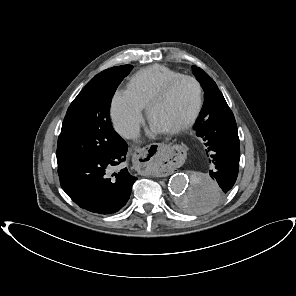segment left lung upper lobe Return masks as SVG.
Here are the masks:
<instances>
[{
	"label": "left lung upper lobe",
	"mask_w": 296,
	"mask_h": 296,
	"mask_svg": "<svg viewBox=\"0 0 296 296\" xmlns=\"http://www.w3.org/2000/svg\"><path fill=\"white\" fill-rule=\"evenodd\" d=\"M192 70L193 74L196 76L197 80L200 82L204 90L205 99L202 111L194 127V130L196 131V134L198 136V127L200 126V124L208 117L211 111L220 103L224 102L225 99L213 79H211L202 69L196 66H192ZM185 207L187 210L195 209L189 208L188 206Z\"/></svg>",
	"instance_id": "left-lung-upper-lobe-1"
}]
</instances>
